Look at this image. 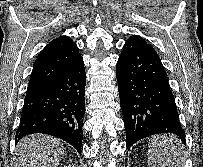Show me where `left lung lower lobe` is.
Returning <instances> with one entry per match:
<instances>
[{
	"mask_svg": "<svg viewBox=\"0 0 203 167\" xmlns=\"http://www.w3.org/2000/svg\"><path fill=\"white\" fill-rule=\"evenodd\" d=\"M116 77L128 149L138 140L160 133L174 134L186 144L166 72L153 48L127 40Z\"/></svg>",
	"mask_w": 203,
	"mask_h": 167,
	"instance_id": "left-lung-lower-lobe-1",
	"label": "left lung lower lobe"
}]
</instances>
